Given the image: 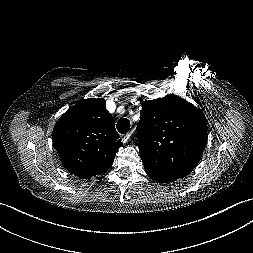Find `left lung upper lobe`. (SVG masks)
<instances>
[{
	"instance_id": "obj_1",
	"label": "left lung upper lobe",
	"mask_w": 253,
	"mask_h": 253,
	"mask_svg": "<svg viewBox=\"0 0 253 253\" xmlns=\"http://www.w3.org/2000/svg\"><path fill=\"white\" fill-rule=\"evenodd\" d=\"M136 130L145 167L177 178L197 166L208 137L201 110L173 94L143 102Z\"/></svg>"
}]
</instances>
